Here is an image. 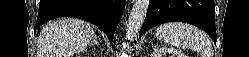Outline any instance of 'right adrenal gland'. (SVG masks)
I'll list each match as a JSON object with an SVG mask.
<instances>
[{"instance_id":"right-adrenal-gland-1","label":"right adrenal gland","mask_w":249,"mask_h":57,"mask_svg":"<svg viewBox=\"0 0 249 57\" xmlns=\"http://www.w3.org/2000/svg\"><path fill=\"white\" fill-rule=\"evenodd\" d=\"M97 46H99V42L97 40V37H95L94 41H93Z\"/></svg>"}]
</instances>
